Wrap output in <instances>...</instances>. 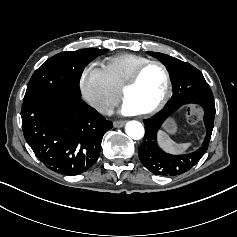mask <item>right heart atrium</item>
Returning <instances> with one entry per match:
<instances>
[{"label": "right heart atrium", "mask_w": 237, "mask_h": 237, "mask_svg": "<svg viewBox=\"0 0 237 237\" xmlns=\"http://www.w3.org/2000/svg\"><path fill=\"white\" fill-rule=\"evenodd\" d=\"M79 88L85 101L102 114L111 110L119 101V92L110 82L106 71L94 62L81 71Z\"/></svg>", "instance_id": "d8ad5b80"}]
</instances>
